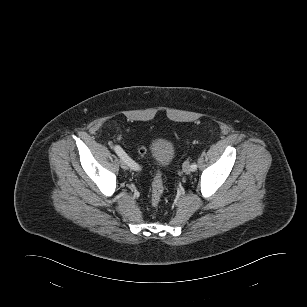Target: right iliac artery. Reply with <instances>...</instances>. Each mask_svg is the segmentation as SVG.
<instances>
[{"label": "right iliac artery", "mask_w": 307, "mask_h": 307, "mask_svg": "<svg viewBox=\"0 0 307 307\" xmlns=\"http://www.w3.org/2000/svg\"><path fill=\"white\" fill-rule=\"evenodd\" d=\"M114 151L122 160H124L127 163V165L131 169L133 170L139 169V165L135 161H133L119 145L114 146Z\"/></svg>", "instance_id": "82829eb1"}]
</instances>
